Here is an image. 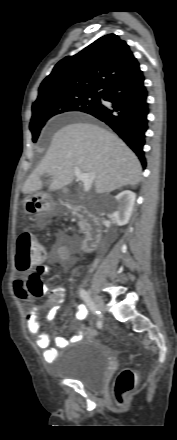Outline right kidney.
<instances>
[{
    "instance_id": "ca27d5eb",
    "label": "right kidney",
    "mask_w": 177,
    "mask_h": 440,
    "mask_svg": "<svg viewBox=\"0 0 177 440\" xmlns=\"http://www.w3.org/2000/svg\"><path fill=\"white\" fill-rule=\"evenodd\" d=\"M136 195L130 190H125L115 196L113 202L112 219L118 226L126 225L132 215Z\"/></svg>"
}]
</instances>
